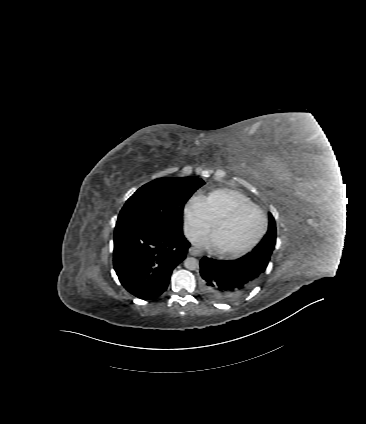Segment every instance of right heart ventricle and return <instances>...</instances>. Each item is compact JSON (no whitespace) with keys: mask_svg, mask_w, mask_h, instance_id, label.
Instances as JSON below:
<instances>
[{"mask_svg":"<svg viewBox=\"0 0 366 424\" xmlns=\"http://www.w3.org/2000/svg\"><path fill=\"white\" fill-rule=\"evenodd\" d=\"M202 199L211 224L240 205L255 204L245 193L231 188L215 189Z\"/></svg>","mask_w":366,"mask_h":424,"instance_id":"1","label":"right heart ventricle"}]
</instances>
